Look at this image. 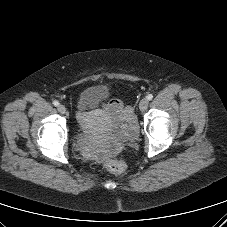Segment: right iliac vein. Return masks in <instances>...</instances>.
<instances>
[{
  "label": "right iliac vein",
  "mask_w": 227,
  "mask_h": 227,
  "mask_svg": "<svg viewBox=\"0 0 227 227\" xmlns=\"http://www.w3.org/2000/svg\"><path fill=\"white\" fill-rule=\"evenodd\" d=\"M57 109L61 114H64L66 112L65 106L62 104L58 105Z\"/></svg>",
  "instance_id": "1"
}]
</instances>
